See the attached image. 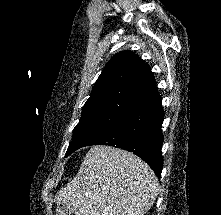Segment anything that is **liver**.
<instances>
[{
  "mask_svg": "<svg viewBox=\"0 0 221 215\" xmlns=\"http://www.w3.org/2000/svg\"><path fill=\"white\" fill-rule=\"evenodd\" d=\"M158 194V180L138 156L96 145L86 153L74 179L55 196L75 215H144Z\"/></svg>",
  "mask_w": 221,
  "mask_h": 215,
  "instance_id": "liver-1",
  "label": "liver"
}]
</instances>
